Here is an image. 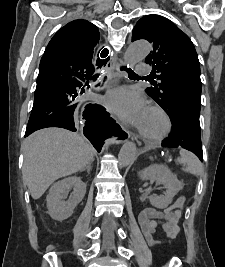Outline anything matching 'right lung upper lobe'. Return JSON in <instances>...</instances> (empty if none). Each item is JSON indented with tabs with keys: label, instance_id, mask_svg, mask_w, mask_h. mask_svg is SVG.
I'll return each instance as SVG.
<instances>
[{
	"label": "right lung upper lobe",
	"instance_id": "1",
	"mask_svg": "<svg viewBox=\"0 0 225 267\" xmlns=\"http://www.w3.org/2000/svg\"><path fill=\"white\" fill-rule=\"evenodd\" d=\"M99 38L98 28L94 24L83 19L74 20L62 27L53 36L45 53L64 52L81 55L94 71L95 66L101 67L105 64L99 58L96 61L94 54V48L99 42Z\"/></svg>",
	"mask_w": 225,
	"mask_h": 267
}]
</instances>
